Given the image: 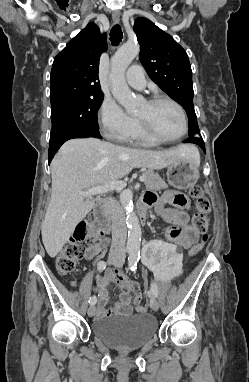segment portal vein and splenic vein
Instances as JSON below:
<instances>
[{
  "label": "portal vein and splenic vein",
  "instance_id": "18ae733b",
  "mask_svg": "<svg viewBox=\"0 0 249 382\" xmlns=\"http://www.w3.org/2000/svg\"><path fill=\"white\" fill-rule=\"evenodd\" d=\"M145 180H146V177L144 176L139 177L140 182H144ZM126 186H127V183L125 181L117 180V181H112L104 186L98 185L96 187H93L81 193L87 197H91L93 195L107 193L108 191H112V190H122Z\"/></svg>",
  "mask_w": 249,
  "mask_h": 382
}]
</instances>
